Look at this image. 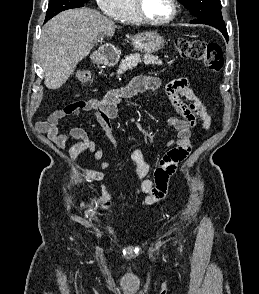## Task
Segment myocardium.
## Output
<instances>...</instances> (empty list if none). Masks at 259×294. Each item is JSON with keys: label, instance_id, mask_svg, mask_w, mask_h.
Masks as SVG:
<instances>
[{"label": "myocardium", "instance_id": "1", "mask_svg": "<svg viewBox=\"0 0 259 294\" xmlns=\"http://www.w3.org/2000/svg\"><path fill=\"white\" fill-rule=\"evenodd\" d=\"M142 3H143V0H132V4H133V8H134V12H135L136 17L139 20V22L144 23V24L154 25V26L166 25V24L172 22L176 18L177 13H178L177 0H170V3H171L170 15L163 20H154V19L149 18L145 14V12L143 10Z\"/></svg>", "mask_w": 259, "mask_h": 294}]
</instances>
